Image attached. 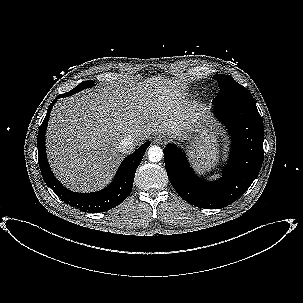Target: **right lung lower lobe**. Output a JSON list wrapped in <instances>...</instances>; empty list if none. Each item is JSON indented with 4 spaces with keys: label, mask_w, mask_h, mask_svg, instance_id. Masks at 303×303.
<instances>
[{
    "label": "right lung lower lobe",
    "mask_w": 303,
    "mask_h": 303,
    "mask_svg": "<svg viewBox=\"0 0 303 303\" xmlns=\"http://www.w3.org/2000/svg\"><path fill=\"white\" fill-rule=\"evenodd\" d=\"M67 97L65 94L58 95L48 108L38 136V161L41 174L45 183L60 197L66 204L76 207L82 211L97 213L110 210L124 201L133 187L134 175L140 164L150 142L141 145L133 154L127 156L120 165L112 183L99 192L76 193L66 189L53 175L46 156L45 133L53 105L57 99Z\"/></svg>",
    "instance_id": "obj_1"
}]
</instances>
